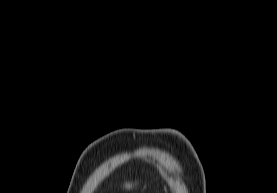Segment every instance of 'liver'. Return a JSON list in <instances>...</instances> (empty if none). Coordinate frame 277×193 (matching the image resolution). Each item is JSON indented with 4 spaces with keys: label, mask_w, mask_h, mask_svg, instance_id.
<instances>
[{
    "label": "liver",
    "mask_w": 277,
    "mask_h": 193,
    "mask_svg": "<svg viewBox=\"0 0 277 193\" xmlns=\"http://www.w3.org/2000/svg\"><path fill=\"white\" fill-rule=\"evenodd\" d=\"M132 187V184H126V188L130 189Z\"/></svg>",
    "instance_id": "1"
}]
</instances>
